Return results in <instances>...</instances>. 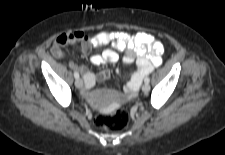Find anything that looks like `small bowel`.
Here are the masks:
<instances>
[{
  "instance_id": "c3829d8e",
  "label": "small bowel",
  "mask_w": 225,
  "mask_h": 155,
  "mask_svg": "<svg viewBox=\"0 0 225 155\" xmlns=\"http://www.w3.org/2000/svg\"><path fill=\"white\" fill-rule=\"evenodd\" d=\"M78 41L82 42L83 52H88L90 49H99L102 46L111 43L114 49H106L101 54H96L90 57L91 64L99 66L106 63H115L119 60V54L116 50L124 52L122 62L124 65H129L136 61L138 70L133 73L124 89L122 99L109 103L107 110L109 112L119 111L126 106V101L133 98L141 84L142 77L150 73L155 67L162 62L163 45L155 39L151 34L127 33L121 31H102L95 35H87L81 31H75L60 35L54 42L51 51L57 58H62L64 52L62 48L65 45L74 44ZM72 67L80 71L84 80V90L87 92L91 89L98 79L105 80L109 77V72L103 70L98 75H95L84 65L70 63ZM110 94L104 96H94V101L97 103H107L111 100Z\"/></svg>"
}]
</instances>
